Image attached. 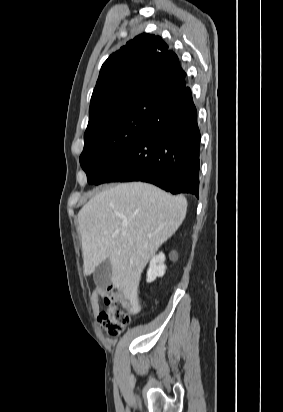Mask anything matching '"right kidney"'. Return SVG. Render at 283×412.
<instances>
[{
	"mask_svg": "<svg viewBox=\"0 0 283 412\" xmlns=\"http://www.w3.org/2000/svg\"><path fill=\"white\" fill-rule=\"evenodd\" d=\"M165 255L160 252L158 255L153 256L150 261L149 268L147 270V282H153L157 277H162L165 274L166 265Z\"/></svg>",
	"mask_w": 283,
	"mask_h": 412,
	"instance_id": "ca27d5eb",
	"label": "right kidney"
}]
</instances>
